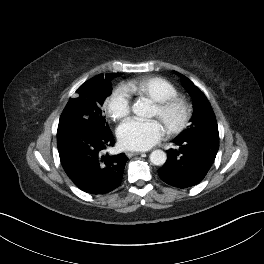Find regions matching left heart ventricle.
Instances as JSON below:
<instances>
[{
  "mask_svg": "<svg viewBox=\"0 0 264 264\" xmlns=\"http://www.w3.org/2000/svg\"><path fill=\"white\" fill-rule=\"evenodd\" d=\"M154 115L157 116V108L154 109Z\"/></svg>",
  "mask_w": 264,
  "mask_h": 264,
  "instance_id": "1",
  "label": "left heart ventricle"
}]
</instances>
